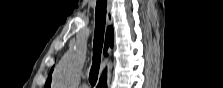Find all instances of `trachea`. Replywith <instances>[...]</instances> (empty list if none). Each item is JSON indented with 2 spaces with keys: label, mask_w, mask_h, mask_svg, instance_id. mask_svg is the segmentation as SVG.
<instances>
[{
  "label": "trachea",
  "mask_w": 223,
  "mask_h": 88,
  "mask_svg": "<svg viewBox=\"0 0 223 88\" xmlns=\"http://www.w3.org/2000/svg\"><path fill=\"white\" fill-rule=\"evenodd\" d=\"M106 0H97L95 12V33H94V47H93V64L89 74V82L95 86L101 61V52L104 41V30L106 23Z\"/></svg>",
  "instance_id": "3493384b"
}]
</instances>
